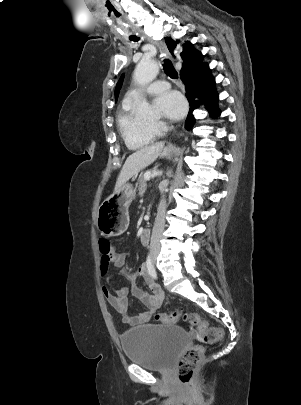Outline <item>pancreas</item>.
<instances>
[{"instance_id":"1","label":"pancreas","mask_w":301,"mask_h":405,"mask_svg":"<svg viewBox=\"0 0 301 405\" xmlns=\"http://www.w3.org/2000/svg\"><path fill=\"white\" fill-rule=\"evenodd\" d=\"M147 189V181L145 177L140 178L139 180V187H138V193L140 196H142Z\"/></svg>"}]
</instances>
